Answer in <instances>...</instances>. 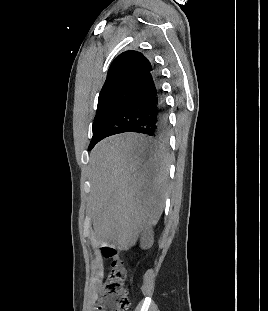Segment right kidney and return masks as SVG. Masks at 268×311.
Listing matches in <instances>:
<instances>
[{"label":"right kidney","instance_id":"obj_1","mask_svg":"<svg viewBox=\"0 0 268 311\" xmlns=\"http://www.w3.org/2000/svg\"><path fill=\"white\" fill-rule=\"evenodd\" d=\"M153 232L152 231H148L145 232L144 234H142V238H141V247L143 248H149L152 246L153 244Z\"/></svg>","mask_w":268,"mask_h":311}]
</instances>
